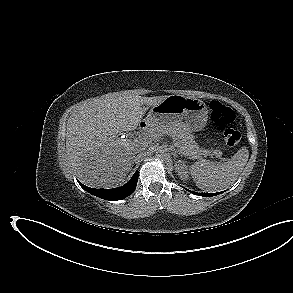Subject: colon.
<instances>
[{
  "label": "colon",
  "mask_w": 293,
  "mask_h": 293,
  "mask_svg": "<svg viewBox=\"0 0 293 293\" xmlns=\"http://www.w3.org/2000/svg\"><path fill=\"white\" fill-rule=\"evenodd\" d=\"M211 120L222 132L225 144L229 148H235L241 139V134L235 126L236 116L234 111L219 101L209 103Z\"/></svg>",
  "instance_id": "obj_1"
}]
</instances>
